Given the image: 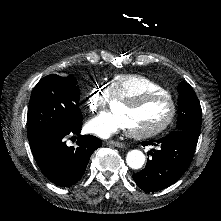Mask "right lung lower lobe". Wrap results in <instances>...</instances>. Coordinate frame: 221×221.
I'll return each instance as SVG.
<instances>
[{"label":"right lung lower lobe","mask_w":221,"mask_h":221,"mask_svg":"<svg viewBox=\"0 0 221 221\" xmlns=\"http://www.w3.org/2000/svg\"><path fill=\"white\" fill-rule=\"evenodd\" d=\"M82 122L71 130L40 133L29 139L33 156L43 174L54 184L69 187L83 176L93 151L102 141L92 135L78 137L77 147H68L67 135H79Z\"/></svg>","instance_id":"1"}]
</instances>
